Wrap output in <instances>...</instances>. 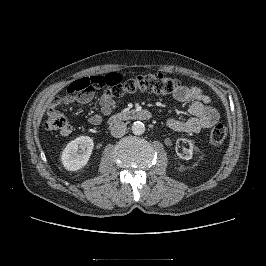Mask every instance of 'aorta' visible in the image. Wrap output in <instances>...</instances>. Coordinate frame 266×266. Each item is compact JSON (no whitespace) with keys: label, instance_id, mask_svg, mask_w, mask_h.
<instances>
[{"label":"aorta","instance_id":"aorta-1","mask_svg":"<svg viewBox=\"0 0 266 266\" xmlns=\"http://www.w3.org/2000/svg\"><path fill=\"white\" fill-rule=\"evenodd\" d=\"M131 130L135 135H142L145 132V125L140 121H136L132 124Z\"/></svg>","mask_w":266,"mask_h":266}]
</instances>
